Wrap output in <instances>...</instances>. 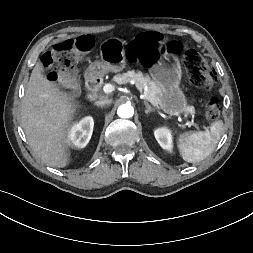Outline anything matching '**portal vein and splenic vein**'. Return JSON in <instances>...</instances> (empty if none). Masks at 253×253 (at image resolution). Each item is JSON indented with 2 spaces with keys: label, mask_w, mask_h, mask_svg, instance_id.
Here are the masks:
<instances>
[{
  "label": "portal vein and splenic vein",
  "mask_w": 253,
  "mask_h": 253,
  "mask_svg": "<svg viewBox=\"0 0 253 253\" xmlns=\"http://www.w3.org/2000/svg\"><path fill=\"white\" fill-rule=\"evenodd\" d=\"M113 90H114V88H113V86H112L111 84H105V85L103 86V92L106 93V94L111 93ZM142 97H143L144 99L148 100L149 102H151L153 105H156V104L154 103V101L146 94V92L143 93ZM186 124H187L188 126L193 125V126H195V127L199 130L198 125L194 124L193 122H190V121L186 120Z\"/></svg>",
  "instance_id": "18ae733b"
}]
</instances>
